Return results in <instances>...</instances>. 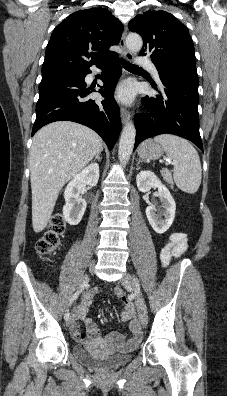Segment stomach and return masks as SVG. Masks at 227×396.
Here are the masks:
<instances>
[{"mask_svg":"<svg viewBox=\"0 0 227 396\" xmlns=\"http://www.w3.org/2000/svg\"><path fill=\"white\" fill-rule=\"evenodd\" d=\"M163 147L153 140H146L138 149V155L144 160H155L162 156Z\"/></svg>","mask_w":227,"mask_h":396,"instance_id":"0dacf381","label":"stomach"}]
</instances>
